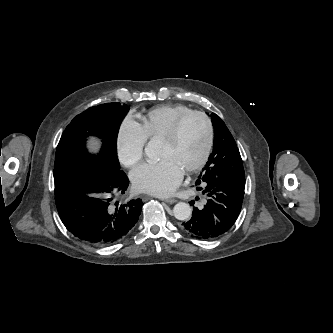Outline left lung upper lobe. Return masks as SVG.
<instances>
[{"label": "left lung upper lobe", "instance_id": "obj_1", "mask_svg": "<svg viewBox=\"0 0 333 333\" xmlns=\"http://www.w3.org/2000/svg\"><path fill=\"white\" fill-rule=\"evenodd\" d=\"M214 127V147L203 172L221 180L244 179L242 159L230 131L216 114H211Z\"/></svg>", "mask_w": 333, "mask_h": 333}]
</instances>
